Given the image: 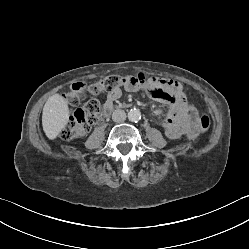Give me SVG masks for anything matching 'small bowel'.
I'll use <instances>...</instances> for the list:
<instances>
[{"mask_svg": "<svg viewBox=\"0 0 249 249\" xmlns=\"http://www.w3.org/2000/svg\"><path fill=\"white\" fill-rule=\"evenodd\" d=\"M140 79L141 83L124 85L127 92L144 90L150 97L166 101L169 108V117L164 123L166 135L171 139L182 136L195 139L199 133L197 130L198 113L185 96L182 85L173 79L160 77H145L139 73L133 76ZM122 96V88L116 87L109 90L104 104L105 113H109L114 103Z\"/></svg>", "mask_w": 249, "mask_h": 249, "instance_id": "1", "label": "small bowel"}]
</instances>
